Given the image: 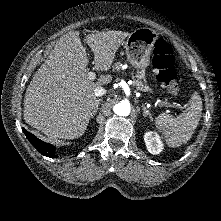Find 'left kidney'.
Segmentation results:
<instances>
[{"instance_id":"5707ae66","label":"left kidney","mask_w":221,"mask_h":221,"mask_svg":"<svg viewBox=\"0 0 221 221\" xmlns=\"http://www.w3.org/2000/svg\"><path fill=\"white\" fill-rule=\"evenodd\" d=\"M144 141L147 150L151 154H159L163 149V143L160 139V136L155 132H146L144 135Z\"/></svg>"}]
</instances>
